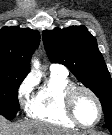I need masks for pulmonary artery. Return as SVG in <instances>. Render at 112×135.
Instances as JSON below:
<instances>
[{
	"instance_id": "1",
	"label": "pulmonary artery",
	"mask_w": 112,
	"mask_h": 135,
	"mask_svg": "<svg viewBox=\"0 0 112 135\" xmlns=\"http://www.w3.org/2000/svg\"><path fill=\"white\" fill-rule=\"evenodd\" d=\"M50 70L52 72H59V73H62V74H67L68 73L67 69L62 65H56V64L51 65Z\"/></svg>"
}]
</instances>
